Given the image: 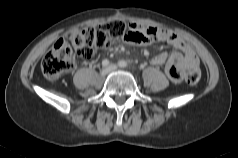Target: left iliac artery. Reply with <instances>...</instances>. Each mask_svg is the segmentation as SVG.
Segmentation results:
<instances>
[{
    "label": "left iliac artery",
    "instance_id": "left-iliac-artery-1",
    "mask_svg": "<svg viewBox=\"0 0 238 158\" xmlns=\"http://www.w3.org/2000/svg\"><path fill=\"white\" fill-rule=\"evenodd\" d=\"M118 65H119L120 67H122V68L128 66L127 62H125V61H123V60L119 61V62H118Z\"/></svg>",
    "mask_w": 238,
    "mask_h": 158
}]
</instances>
